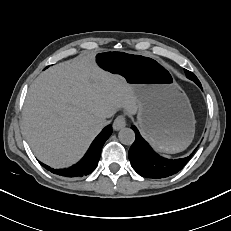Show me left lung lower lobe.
I'll use <instances>...</instances> for the list:
<instances>
[{
    "mask_svg": "<svg viewBox=\"0 0 231 231\" xmlns=\"http://www.w3.org/2000/svg\"><path fill=\"white\" fill-rule=\"evenodd\" d=\"M131 128L135 131L136 139L129 150L128 156L133 169L143 177L155 179L171 176L179 172L193 154L177 160L163 158L153 151L135 126Z\"/></svg>",
    "mask_w": 231,
    "mask_h": 231,
    "instance_id": "1",
    "label": "left lung lower lobe"
}]
</instances>
